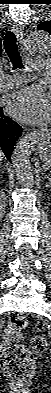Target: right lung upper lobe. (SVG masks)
I'll return each instance as SVG.
<instances>
[{"instance_id":"1","label":"right lung upper lobe","mask_w":51,"mask_h":393,"mask_svg":"<svg viewBox=\"0 0 51 393\" xmlns=\"http://www.w3.org/2000/svg\"><path fill=\"white\" fill-rule=\"evenodd\" d=\"M1 47H2V44H1V41H0V51H1Z\"/></svg>"}]
</instances>
